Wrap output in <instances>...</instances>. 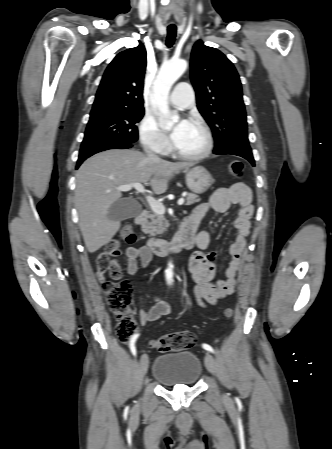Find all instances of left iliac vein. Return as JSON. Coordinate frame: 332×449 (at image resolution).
I'll list each match as a JSON object with an SVG mask.
<instances>
[{"instance_id":"4c4485c4","label":"left iliac vein","mask_w":332,"mask_h":449,"mask_svg":"<svg viewBox=\"0 0 332 449\" xmlns=\"http://www.w3.org/2000/svg\"><path fill=\"white\" fill-rule=\"evenodd\" d=\"M205 365L209 372L217 376L219 374L215 358L210 353L205 355Z\"/></svg>"}]
</instances>
